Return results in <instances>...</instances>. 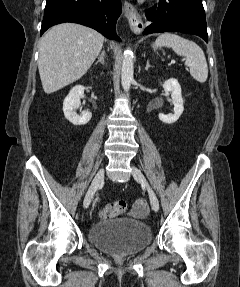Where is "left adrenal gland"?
Instances as JSON below:
<instances>
[{
    "label": "left adrenal gland",
    "instance_id": "a2214340",
    "mask_svg": "<svg viewBox=\"0 0 240 287\" xmlns=\"http://www.w3.org/2000/svg\"><path fill=\"white\" fill-rule=\"evenodd\" d=\"M149 67H151V65H150V61H149V60H147V61H146V67H145V69H146V70H148V68H149Z\"/></svg>",
    "mask_w": 240,
    "mask_h": 287
}]
</instances>
